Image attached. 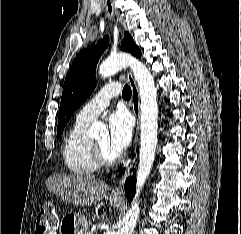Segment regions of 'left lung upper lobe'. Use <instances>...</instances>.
Here are the masks:
<instances>
[{"label":"left lung upper lobe","mask_w":241,"mask_h":234,"mask_svg":"<svg viewBox=\"0 0 241 234\" xmlns=\"http://www.w3.org/2000/svg\"><path fill=\"white\" fill-rule=\"evenodd\" d=\"M108 36L98 44L81 51L74 59L64 82L58 115L57 138L75 110L89 97L96 85L95 71L100 55L108 46ZM121 49L141 56L138 46L128 32L124 33Z\"/></svg>","instance_id":"5c2ea615"}]
</instances>
